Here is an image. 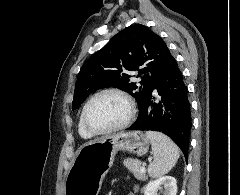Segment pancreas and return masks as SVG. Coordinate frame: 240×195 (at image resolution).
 I'll return each mask as SVG.
<instances>
[{
    "label": "pancreas",
    "instance_id": "cf45deb5",
    "mask_svg": "<svg viewBox=\"0 0 240 195\" xmlns=\"http://www.w3.org/2000/svg\"><path fill=\"white\" fill-rule=\"evenodd\" d=\"M123 163L126 165L127 169L133 171L136 179H142V181H146V179H148L146 171H140V159H132V157H127V159H124Z\"/></svg>",
    "mask_w": 240,
    "mask_h": 195
}]
</instances>
